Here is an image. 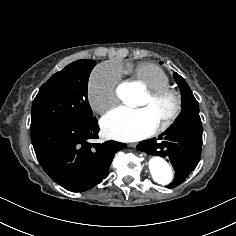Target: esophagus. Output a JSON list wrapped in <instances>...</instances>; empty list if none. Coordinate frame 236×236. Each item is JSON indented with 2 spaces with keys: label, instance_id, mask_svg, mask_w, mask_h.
Segmentation results:
<instances>
[{
  "label": "esophagus",
  "instance_id": "obj_1",
  "mask_svg": "<svg viewBox=\"0 0 236 236\" xmlns=\"http://www.w3.org/2000/svg\"><path fill=\"white\" fill-rule=\"evenodd\" d=\"M130 147H136V144L134 143V144H130L129 145Z\"/></svg>",
  "mask_w": 236,
  "mask_h": 236
}]
</instances>
